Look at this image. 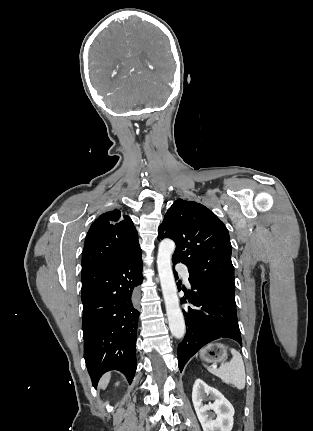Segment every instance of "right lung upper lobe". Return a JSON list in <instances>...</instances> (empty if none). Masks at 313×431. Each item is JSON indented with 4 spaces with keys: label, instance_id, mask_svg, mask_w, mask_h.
<instances>
[{
    "label": "right lung upper lobe",
    "instance_id": "obj_1",
    "mask_svg": "<svg viewBox=\"0 0 313 431\" xmlns=\"http://www.w3.org/2000/svg\"><path fill=\"white\" fill-rule=\"evenodd\" d=\"M136 253L141 249L133 222L115 209L91 225L82 253V269L118 263Z\"/></svg>",
    "mask_w": 313,
    "mask_h": 431
}]
</instances>
